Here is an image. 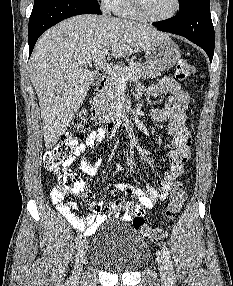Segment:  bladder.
Masks as SVG:
<instances>
[{"instance_id":"obj_1","label":"bladder","mask_w":233,"mask_h":286,"mask_svg":"<svg viewBox=\"0 0 233 286\" xmlns=\"http://www.w3.org/2000/svg\"><path fill=\"white\" fill-rule=\"evenodd\" d=\"M90 261L112 273L133 272L150 256L147 242L130 225L113 221L100 229L88 251Z\"/></svg>"}]
</instances>
